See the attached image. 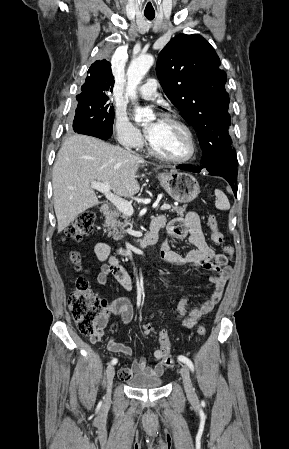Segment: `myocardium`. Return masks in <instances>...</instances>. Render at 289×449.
I'll return each instance as SVG.
<instances>
[{"mask_svg": "<svg viewBox=\"0 0 289 449\" xmlns=\"http://www.w3.org/2000/svg\"><path fill=\"white\" fill-rule=\"evenodd\" d=\"M161 119L177 125L185 132V134L188 138V141H189V146H190L189 153L184 157H169V156L163 155V154L159 153L154 148V146L152 145L149 138H147V149H148L149 153L152 156H154L162 161L171 162V163H187V162L192 161L197 154V143H196V139H195L194 133L191 130V128L180 118H178L174 115H171V114H163L161 116Z\"/></svg>", "mask_w": 289, "mask_h": 449, "instance_id": "f54148a6", "label": "myocardium"}]
</instances>
